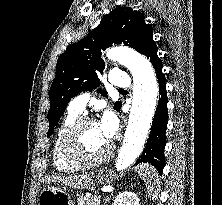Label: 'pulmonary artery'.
I'll list each match as a JSON object with an SVG mask.
<instances>
[{"label": "pulmonary artery", "instance_id": "e3ab8cb5", "mask_svg": "<svg viewBox=\"0 0 222 205\" xmlns=\"http://www.w3.org/2000/svg\"><path fill=\"white\" fill-rule=\"evenodd\" d=\"M110 82L116 89H125L130 85V76L125 72L113 70L110 73ZM89 98V93L79 94L71 100L68 110L77 114L81 113L84 110Z\"/></svg>", "mask_w": 222, "mask_h": 205}]
</instances>
